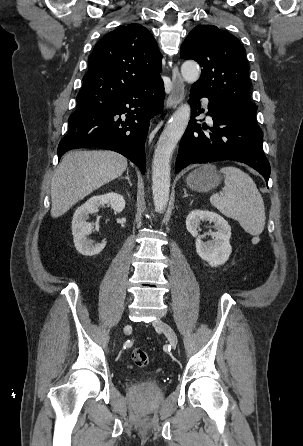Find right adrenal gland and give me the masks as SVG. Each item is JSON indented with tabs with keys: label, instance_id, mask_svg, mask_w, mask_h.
Here are the masks:
<instances>
[{
	"label": "right adrenal gland",
	"instance_id": "obj_1",
	"mask_svg": "<svg viewBox=\"0 0 303 446\" xmlns=\"http://www.w3.org/2000/svg\"><path fill=\"white\" fill-rule=\"evenodd\" d=\"M121 179H126L128 181V183H129V185L132 186V183H131L130 178H129V169H127L126 176L125 177H121Z\"/></svg>",
	"mask_w": 303,
	"mask_h": 446
}]
</instances>
